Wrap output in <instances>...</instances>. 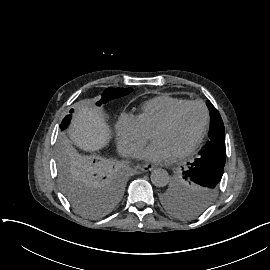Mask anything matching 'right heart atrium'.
Wrapping results in <instances>:
<instances>
[{"label":"right heart atrium","mask_w":270,"mask_h":270,"mask_svg":"<svg viewBox=\"0 0 270 270\" xmlns=\"http://www.w3.org/2000/svg\"><path fill=\"white\" fill-rule=\"evenodd\" d=\"M118 150L124 157H135L147 141V133L133 115L122 114L115 125Z\"/></svg>","instance_id":"d8ad5b80"}]
</instances>
